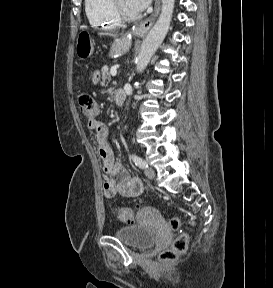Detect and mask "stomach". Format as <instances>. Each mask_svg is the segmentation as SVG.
I'll list each match as a JSON object with an SVG mask.
<instances>
[{"label":"stomach","instance_id":"0dacf381","mask_svg":"<svg viewBox=\"0 0 273 288\" xmlns=\"http://www.w3.org/2000/svg\"><path fill=\"white\" fill-rule=\"evenodd\" d=\"M130 39L127 36L115 39L109 51V56L116 57L124 54L130 48ZM94 46L93 40L87 34L79 35L76 43V54L80 59H85L91 56Z\"/></svg>","mask_w":273,"mask_h":288}]
</instances>
